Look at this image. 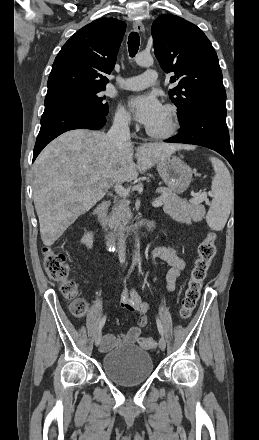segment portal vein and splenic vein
I'll list each match as a JSON object with an SVG mask.
<instances>
[{
  "mask_svg": "<svg viewBox=\"0 0 259 440\" xmlns=\"http://www.w3.org/2000/svg\"><path fill=\"white\" fill-rule=\"evenodd\" d=\"M96 179H98V178H95V180ZM115 191H116V193L118 195H120L124 199L128 197L129 193H128V191L122 185L116 184ZM190 201H192V202L195 201V202H199V203H201L203 201H207V193L199 194L198 196H196L195 198L191 199ZM162 205H163V201L159 200V199H156V200H154L152 202V206L153 207H160Z\"/></svg>",
  "mask_w": 259,
  "mask_h": 440,
  "instance_id": "obj_1",
  "label": "portal vein and splenic vein"
}]
</instances>
